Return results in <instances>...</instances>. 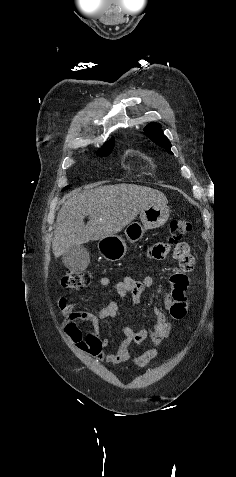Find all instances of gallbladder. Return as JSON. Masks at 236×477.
I'll return each mask as SVG.
<instances>
[{
    "instance_id": "obj_1",
    "label": "gallbladder",
    "mask_w": 236,
    "mask_h": 477,
    "mask_svg": "<svg viewBox=\"0 0 236 477\" xmlns=\"http://www.w3.org/2000/svg\"><path fill=\"white\" fill-rule=\"evenodd\" d=\"M89 252L82 245H74L62 256L64 265L72 271H81L85 269L89 263Z\"/></svg>"
}]
</instances>
